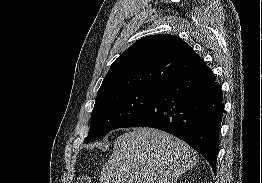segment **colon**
<instances>
[{"mask_svg": "<svg viewBox=\"0 0 262 183\" xmlns=\"http://www.w3.org/2000/svg\"><path fill=\"white\" fill-rule=\"evenodd\" d=\"M77 183H92V179L87 175H81L78 177Z\"/></svg>", "mask_w": 262, "mask_h": 183, "instance_id": "colon-1", "label": "colon"}]
</instances>
